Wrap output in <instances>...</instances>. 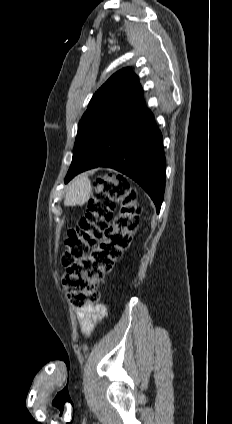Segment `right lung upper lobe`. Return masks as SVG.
<instances>
[{
    "instance_id": "cb5924a9",
    "label": "right lung upper lobe",
    "mask_w": 232,
    "mask_h": 424,
    "mask_svg": "<svg viewBox=\"0 0 232 424\" xmlns=\"http://www.w3.org/2000/svg\"><path fill=\"white\" fill-rule=\"evenodd\" d=\"M145 103L143 90L138 77L130 68H124L113 74L93 95L88 109L106 106H124L135 108Z\"/></svg>"
}]
</instances>
